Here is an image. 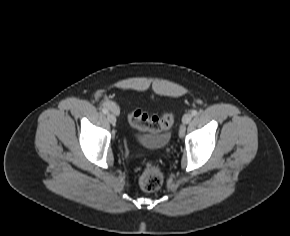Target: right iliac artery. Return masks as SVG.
Masks as SVG:
<instances>
[{"label":"right iliac artery","mask_w":290,"mask_h":236,"mask_svg":"<svg viewBox=\"0 0 290 236\" xmlns=\"http://www.w3.org/2000/svg\"><path fill=\"white\" fill-rule=\"evenodd\" d=\"M102 112H103L104 114H107V113H108V110H107L106 108H102Z\"/></svg>","instance_id":"obj_1"}]
</instances>
